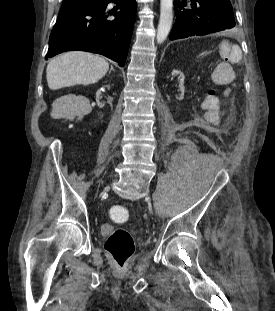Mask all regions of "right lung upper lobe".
<instances>
[{"label": "right lung upper lobe", "instance_id": "cb5924a9", "mask_svg": "<svg viewBox=\"0 0 275 311\" xmlns=\"http://www.w3.org/2000/svg\"><path fill=\"white\" fill-rule=\"evenodd\" d=\"M70 1H75V0H64L63 2H70Z\"/></svg>", "mask_w": 275, "mask_h": 311}]
</instances>
